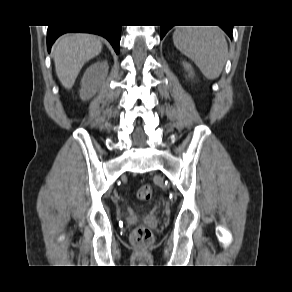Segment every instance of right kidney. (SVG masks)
<instances>
[{
    "label": "right kidney",
    "mask_w": 292,
    "mask_h": 292,
    "mask_svg": "<svg viewBox=\"0 0 292 292\" xmlns=\"http://www.w3.org/2000/svg\"><path fill=\"white\" fill-rule=\"evenodd\" d=\"M109 66L107 61H98L90 65L81 80L80 98L88 100L98 91L102 81L108 74Z\"/></svg>",
    "instance_id": "ca27d5eb"
}]
</instances>
